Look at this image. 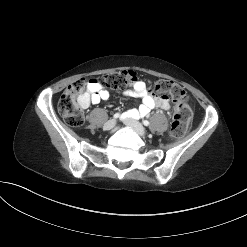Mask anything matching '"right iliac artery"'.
Listing matches in <instances>:
<instances>
[{"mask_svg":"<svg viewBox=\"0 0 247 247\" xmlns=\"http://www.w3.org/2000/svg\"><path fill=\"white\" fill-rule=\"evenodd\" d=\"M123 115H126V114H123ZM120 116V114L119 113H116V114H114V118H118ZM127 116V115H126Z\"/></svg>","mask_w":247,"mask_h":247,"instance_id":"obj_1","label":"right iliac artery"}]
</instances>
